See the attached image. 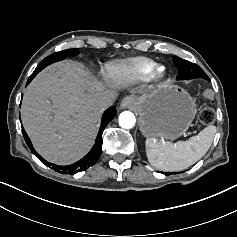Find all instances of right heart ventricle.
<instances>
[{"label":"right heart ventricle","instance_id":"1","mask_svg":"<svg viewBox=\"0 0 237 237\" xmlns=\"http://www.w3.org/2000/svg\"><path fill=\"white\" fill-rule=\"evenodd\" d=\"M153 66V61L146 58H136L124 63H117L110 67L111 71L125 72L130 76L137 78L145 75Z\"/></svg>","mask_w":237,"mask_h":237}]
</instances>
